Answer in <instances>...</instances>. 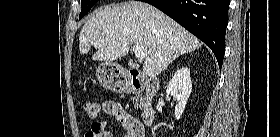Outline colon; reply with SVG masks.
<instances>
[{"label":"colon","mask_w":280,"mask_h":137,"mask_svg":"<svg viewBox=\"0 0 280 137\" xmlns=\"http://www.w3.org/2000/svg\"><path fill=\"white\" fill-rule=\"evenodd\" d=\"M82 111L90 118H95L99 114V104L94 100H84L81 104ZM142 137L140 128L136 125H131V134L129 137Z\"/></svg>","instance_id":"1"}]
</instances>
